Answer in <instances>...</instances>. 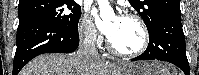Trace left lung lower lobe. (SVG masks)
<instances>
[{
	"instance_id": "left-lung-lower-lobe-1",
	"label": "left lung lower lobe",
	"mask_w": 199,
	"mask_h": 75,
	"mask_svg": "<svg viewBox=\"0 0 199 75\" xmlns=\"http://www.w3.org/2000/svg\"><path fill=\"white\" fill-rule=\"evenodd\" d=\"M131 60L167 61L179 67L186 75H190L181 13L172 12L163 16L149 32L146 51Z\"/></svg>"
}]
</instances>
